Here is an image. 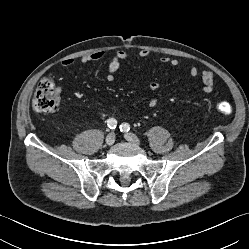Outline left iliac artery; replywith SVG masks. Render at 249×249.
I'll use <instances>...</instances> for the list:
<instances>
[{"mask_svg":"<svg viewBox=\"0 0 249 249\" xmlns=\"http://www.w3.org/2000/svg\"><path fill=\"white\" fill-rule=\"evenodd\" d=\"M120 130L124 132H128L130 130V125L128 123H123L120 125Z\"/></svg>","mask_w":249,"mask_h":249,"instance_id":"44dca946","label":"left iliac artery"}]
</instances>
